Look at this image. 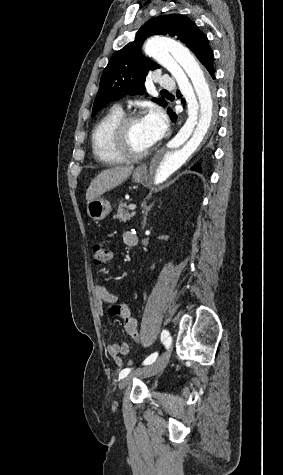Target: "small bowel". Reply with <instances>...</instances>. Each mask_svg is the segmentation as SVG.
<instances>
[{
	"instance_id": "c3829d8e",
	"label": "small bowel",
	"mask_w": 283,
	"mask_h": 475,
	"mask_svg": "<svg viewBox=\"0 0 283 475\" xmlns=\"http://www.w3.org/2000/svg\"><path fill=\"white\" fill-rule=\"evenodd\" d=\"M124 242L127 246L132 247L137 243V238L133 233L127 232L123 236ZM93 295L95 298V305L98 310L102 311L104 305H112V298H116L109 288L97 283L93 286ZM128 312H131L128 307ZM110 315L117 316L114 313V309H111ZM138 327V326H137ZM108 353L113 358L114 362L118 365H122V357L129 353V345L126 342L112 343L108 346Z\"/></svg>"
}]
</instances>
